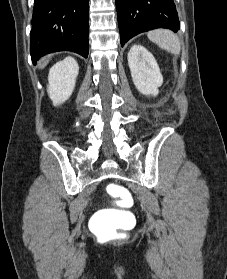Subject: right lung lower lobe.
I'll return each instance as SVG.
<instances>
[{"instance_id":"right-lung-lower-lobe-1","label":"right lung lower lobe","mask_w":227,"mask_h":279,"mask_svg":"<svg viewBox=\"0 0 227 279\" xmlns=\"http://www.w3.org/2000/svg\"><path fill=\"white\" fill-rule=\"evenodd\" d=\"M88 0H35L30 35L32 62L57 51L88 57Z\"/></svg>"}]
</instances>
